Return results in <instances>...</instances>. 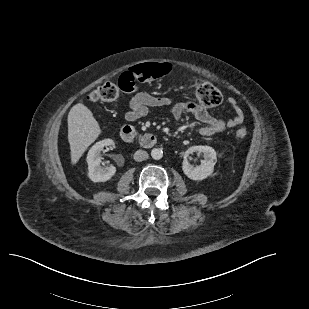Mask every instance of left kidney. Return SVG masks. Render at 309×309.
I'll use <instances>...</instances> for the list:
<instances>
[{"mask_svg": "<svg viewBox=\"0 0 309 309\" xmlns=\"http://www.w3.org/2000/svg\"><path fill=\"white\" fill-rule=\"evenodd\" d=\"M194 152L202 153L204 157V159L201 160L200 165L195 167L187 160L188 156ZM216 162V151L212 147L202 145L192 146L184 153L182 169L184 174L191 180L201 181L213 173Z\"/></svg>", "mask_w": 309, "mask_h": 309, "instance_id": "1", "label": "left kidney"}]
</instances>
